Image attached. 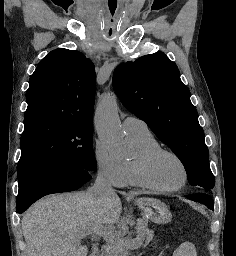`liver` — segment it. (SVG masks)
<instances>
[{
    "label": "liver",
    "mask_w": 236,
    "mask_h": 256,
    "mask_svg": "<svg viewBox=\"0 0 236 256\" xmlns=\"http://www.w3.org/2000/svg\"><path fill=\"white\" fill-rule=\"evenodd\" d=\"M121 214L117 194L102 200L89 190L46 196L35 202L22 218L27 256H87V246H80L84 232L87 236L93 228L115 224ZM97 252V244H93L91 256Z\"/></svg>",
    "instance_id": "1"
}]
</instances>
